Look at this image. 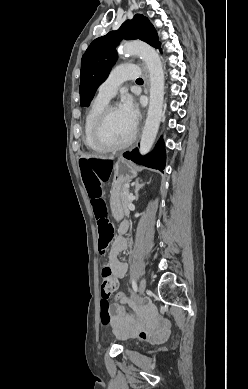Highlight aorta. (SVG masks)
Returning <instances> with one entry per match:
<instances>
[{"mask_svg": "<svg viewBox=\"0 0 248 389\" xmlns=\"http://www.w3.org/2000/svg\"><path fill=\"white\" fill-rule=\"evenodd\" d=\"M124 55L140 56L145 62L150 75V100L142 137L140 153L147 154L157 135L163 113L164 70L158 52L143 42H126L121 46Z\"/></svg>", "mask_w": 248, "mask_h": 389, "instance_id": "aorta-1", "label": "aorta"}]
</instances>
